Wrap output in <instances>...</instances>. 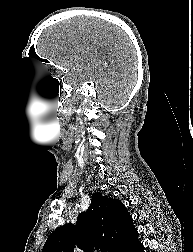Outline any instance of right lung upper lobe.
<instances>
[{"instance_id": "1", "label": "right lung upper lobe", "mask_w": 193, "mask_h": 252, "mask_svg": "<svg viewBox=\"0 0 193 252\" xmlns=\"http://www.w3.org/2000/svg\"><path fill=\"white\" fill-rule=\"evenodd\" d=\"M135 231L132 217L120 200L94 193L76 225L65 224L53 231L42 252H73L76 244L84 252H117Z\"/></svg>"}]
</instances>
